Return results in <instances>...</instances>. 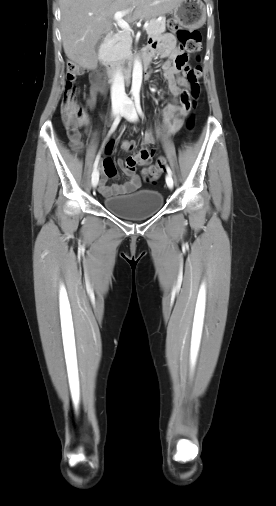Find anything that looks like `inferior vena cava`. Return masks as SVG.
I'll return each mask as SVG.
<instances>
[{"label":"inferior vena cava","mask_w":276,"mask_h":506,"mask_svg":"<svg viewBox=\"0 0 276 506\" xmlns=\"http://www.w3.org/2000/svg\"><path fill=\"white\" fill-rule=\"evenodd\" d=\"M111 99L112 102H124L126 100L124 79L120 70L114 75V81L111 86Z\"/></svg>","instance_id":"602c4592"}]
</instances>
